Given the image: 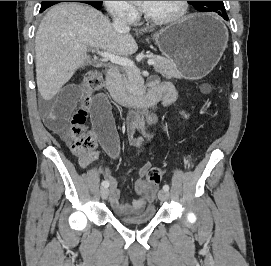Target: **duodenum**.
<instances>
[{
    "label": "duodenum",
    "mask_w": 271,
    "mask_h": 266,
    "mask_svg": "<svg viewBox=\"0 0 271 266\" xmlns=\"http://www.w3.org/2000/svg\"><path fill=\"white\" fill-rule=\"evenodd\" d=\"M106 86L112 98L119 104H132L140 109H146L163 99L168 91L163 84L150 83L149 91L140 97L129 95L123 88L120 79V72L117 68L109 70L106 78Z\"/></svg>",
    "instance_id": "obj_1"
}]
</instances>
